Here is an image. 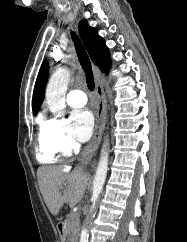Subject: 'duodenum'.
I'll return each instance as SVG.
<instances>
[{
	"label": "duodenum",
	"mask_w": 187,
	"mask_h": 242,
	"mask_svg": "<svg viewBox=\"0 0 187 242\" xmlns=\"http://www.w3.org/2000/svg\"><path fill=\"white\" fill-rule=\"evenodd\" d=\"M58 232H59V234L60 235H62L63 234V224H58Z\"/></svg>",
	"instance_id": "obj_1"
}]
</instances>
